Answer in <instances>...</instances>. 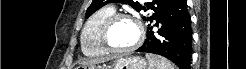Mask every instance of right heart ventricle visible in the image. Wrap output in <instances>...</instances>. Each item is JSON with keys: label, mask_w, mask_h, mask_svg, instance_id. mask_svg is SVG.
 Wrapping results in <instances>:
<instances>
[{"label": "right heart ventricle", "mask_w": 246, "mask_h": 69, "mask_svg": "<svg viewBox=\"0 0 246 69\" xmlns=\"http://www.w3.org/2000/svg\"><path fill=\"white\" fill-rule=\"evenodd\" d=\"M114 13L113 7H103L86 21L81 35L82 51L86 56L102 57L109 53L102 44L100 32L105 20Z\"/></svg>", "instance_id": "e07e8e85"}]
</instances>
